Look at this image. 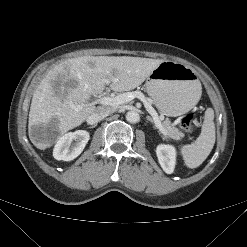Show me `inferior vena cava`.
<instances>
[{"instance_id":"1","label":"inferior vena cava","mask_w":247,"mask_h":247,"mask_svg":"<svg viewBox=\"0 0 247 247\" xmlns=\"http://www.w3.org/2000/svg\"><path fill=\"white\" fill-rule=\"evenodd\" d=\"M114 111L115 110L112 107L100 106V107H97V109L91 114L90 119L93 122H99L105 117L112 114Z\"/></svg>"}]
</instances>
